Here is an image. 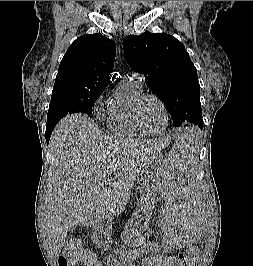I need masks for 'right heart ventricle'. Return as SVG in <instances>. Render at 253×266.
<instances>
[{
    "label": "right heart ventricle",
    "instance_id": "1",
    "mask_svg": "<svg viewBox=\"0 0 253 266\" xmlns=\"http://www.w3.org/2000/svg\"><path fill=\"white\" fill-rule=\"evenodd\" d=\"M143 93L140 82L125 79L117 90L107 115V127L110 132L122 137H141L135 126L131 108L136 97Z\"/></svg>",
    "mask_w": 253,
    "mask_h": 266
}]
</instances>
